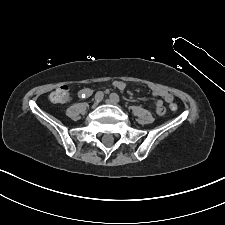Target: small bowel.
Segmentation results:
<instances>
[{
    "instance_id": "obj_1",
    "label": "small bowel",
    "mask_w": 225,
    "mask_h": 225,
    "mask_svg": "<svg viewBox=\"0 0 225 225\" xmlns=\"http://www.w3.org/2000/svg\"><path fill=\"white\" fill-rule=\"evenodd\" d=\"M113 85L119 90H123L126 87V83L121 80L115 81ZM90 93L91 90L88 88H84L80 91V94L90 95ZM152 96L156 107L162 106L163 102L167 104H171L173 102V96L169 92L159 87H152Z\"/></svg>"
}]
</instances>
